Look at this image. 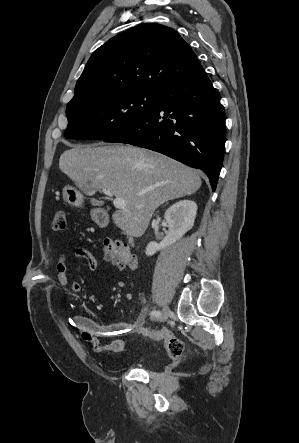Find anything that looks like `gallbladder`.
<instances>
[{
  "instance_id": "bac80fb5",
  "label": "gallbladder",
  "mask_w": 299,
  "mask_h": 443,
  "mask_svg": "<svg viewBox=\"0 0 299 443\" xmlns=\"http://www.w3.org/2000/svg\"><path fill=\"white\" fill-rule=\"evenodd\" d=\"M91 204H92V205H97V204H98V202H97V200H95V199H92V200H91Z\"/></svg>"
}]
</instances>
